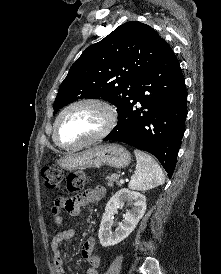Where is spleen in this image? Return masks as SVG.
Returning <instances> with one entry per match:
<instances>
[{
  "label": "spleen",
  "instance_id": "obj_1",
  "mask_svg": "<svg viewBox=\"0 0 221 274\" xmlns=\"http://www.w3.org/2000/svg\"><path fill=\"white\" fill-rule=\"evenodd\" d=\"M136 171L128 187L132 190L147 191L164 184L165 177L157 162L147 153L135 149Z\"/></svg>",
  "mask_w": 221,
  "mask_h": 274
}]
</instances>
